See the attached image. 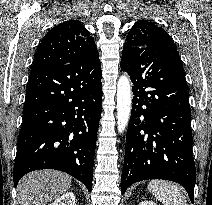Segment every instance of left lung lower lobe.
<instances>
[{
    "mask_svg": "<svg viewBox=\"0 0 212 205\" xmlns=\"http://www.w3.org/2000/svg\"><path fill=\"white\" fill-rule=\"evenodd\" d=\"M133 83L121 191L133 183L165 179L181 184L191 201L196 182L191 110L184 68L177 49L134 47L121 58Z\"/></svg>",
    "mask_w": 212,
    "mask_h": 205,
    "instance_id": "obj_1",
    "label": "left lung lower lobe"
}]
</instances>
